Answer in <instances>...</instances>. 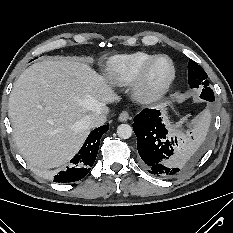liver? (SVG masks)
Returning <instances> with one entry per match:
<instances>
[{
    "mask_svg": "<svg viewBox=\"0 0 233 233\" xmlns=\"http://www.w3.org/2000/svg\"><path fill=\"white\" fill-rule=\"evenodd\" d=\"M115 99L107 80L84 61L36 62L15 81L9 97L16 146L34 167L61 166L87 138L86 116Z\"/></svg>",
    "mask_w": 233,
    "mask_h": 233,
    "instance_id": "1",
    "label": "liver"
}]
</instances>
